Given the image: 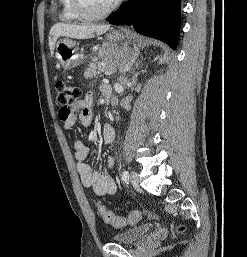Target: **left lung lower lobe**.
I'll use <instances>...</instances> for the list:
<instances>
[{"label":"left lung lower lobe","instance_id":"obj_1","mask_svg":"<svg viewBox=\"0 0 247 257\" xmlns=\"http://www.w3.org/2000/svg\"><path fill=\"white\" fill-rule=\"evenodd\" d=\"M181 0H129L108 16L115 25H132L143 35L177 47L180 31Z\"/></svg>","mask_w":247,"mask_h":257}]
</instances>
